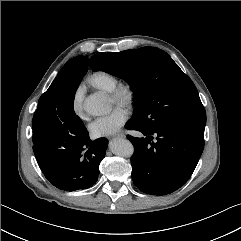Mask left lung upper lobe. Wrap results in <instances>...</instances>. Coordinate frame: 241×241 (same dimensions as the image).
Segmentation results:
<instances>
[{"instance_id": "1", "label": "left lung upper lobe", "mask_w": 241, "mask_h": 241, "mask_svg": "<svg viewBox=\"0 0 241 241\" xmlns=\"http://www.w3.org/2000/svg\"><path fill=\"white\" fill-rule=\"evenodd\" d=\"M93 71L120 77L135 100L132 119L149 131L169 122L205 127L206 112L191 79L161 49L142 47L91 57Z\"/></svg>"}]
</instances>
